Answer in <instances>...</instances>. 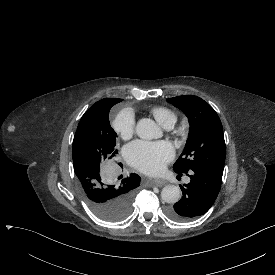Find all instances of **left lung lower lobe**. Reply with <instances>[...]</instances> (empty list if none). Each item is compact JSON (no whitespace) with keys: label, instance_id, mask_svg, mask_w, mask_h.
Wrapping results in <instances>:
<instances>
[{"label":"left lung lower lobe","instance_id":"left-lung-lower-lobe-1","mask_svg":"<svg viewBox=\"0 0 275 275\" xmlns=\"http://www.w3.org/2000/svg\"><path fill=\"white\" fill-rule=\"evenodd\" d=\"M186 174L191 180L180 185L183 193L181 200L166 211L172 220L178 222L192 220L210 209L220 191L223 171L199 168Z\"/></svg>","mask_w":275,"mask_h":275}]
</instances>
